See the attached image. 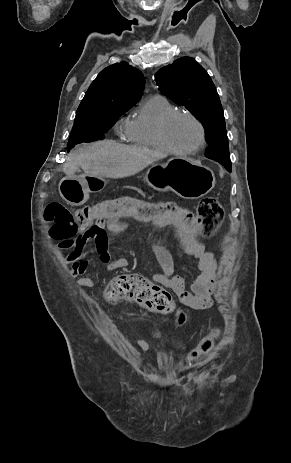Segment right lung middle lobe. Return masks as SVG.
I'll return each instance as SVG.
<instances>
[{
    "mask_svg": "<svg viewBox=\"0 0 291 463\" xmlns=\"http://www.w3.org/2000/svg\"><path fill=\"white\" fill-rule=\"evenodd\" d=\"M132 106L108 103L95 109L76 112L67 148L71 149L82 142L103 139L104 134L115 124L118 118Z\"/></svg>",
    "mask_w": 291,
    "mask_h": 463,
    "instance_id": "dd1d6c3e",
    "label": "right lung middle lobe"
}]
</instances>
